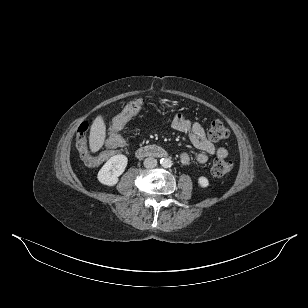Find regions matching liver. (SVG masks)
I'll list each match as a JSON object with an SVG mask.
<instances>
[{
	"label": "liver",
	"instance_id": "obj_1",
	"mask_svg": "<svg viewBox=\"0 0 308 308\" xmlns=\"http://www.w3.org/2000/svg\"><path fill=\"white\" fill-rule=\"evenodd\" d=\"M106 137V125L101 115H98L93 121L89 135V147L91 152L95 153L102 148Z\"/></svg>",
	"mask_w": 308,
	"mask_h": 308
}]
</instances>
